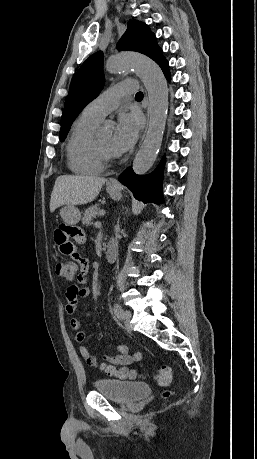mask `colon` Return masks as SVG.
<instances>
[{"instance_id": "obj_1", "label": "colon", "mask_w": 257, "mask_h": 459, "mask_svg": "<svg viewBox=\"0 0 257 459\" xmlns=\"http://www.w3.org/2000/svg\"><path fill=\"white\" fill-rule=\"evenodd\" d=\"M79 266L80 264H68L66 260L60 261L56 264V275L66 281H73L77 276ZM104 369L107 374L117 376L119 378H134L137 376L134 371L126 368L116 369L111 366H104ZM155 380L160 386L170 385L172 381L171 368L167 365L160 366L155 374ZM163 396L169 397L170 392L165 391Z\"/></svg>"}]
</instances>
